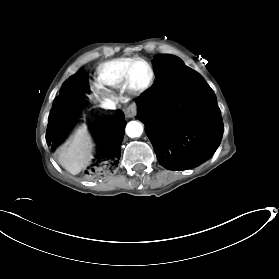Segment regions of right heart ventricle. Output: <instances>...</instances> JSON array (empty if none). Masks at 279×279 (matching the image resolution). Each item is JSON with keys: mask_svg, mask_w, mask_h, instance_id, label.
Returning a JSON list of instances; mask_svg holds the SVG:
<instances>
[{"mask_svg": "<svg viewBox=\"0 0 279 279\" xmlns=\"http://www.w3.org/2000/svg\"><path fill=\"white\" fill-rule=\"evenodd\" d=\"M131 58H118L102 63L97 68V81L100 85L123 86L124 75Z\"/></svg>", "mask_w": 279, "mask_h": 279, "instance_id": "1", "label": "right heart ventricle"}]
</instances>
